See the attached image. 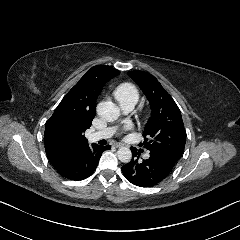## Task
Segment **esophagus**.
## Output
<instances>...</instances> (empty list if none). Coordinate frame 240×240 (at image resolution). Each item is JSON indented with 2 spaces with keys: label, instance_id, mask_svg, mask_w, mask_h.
<instances>
[{
  "label": "esophagus",
  "instance_id": "34e87169",
  "mask_svg": "<svg viewBox=\"0 0 240 240\" xmlns=\"http://www.w3.org/2000/svg\"><path fill=\"white\" fill-rule=\"evenodd\" d=\"M116 147H124V146H127L126 144H123V143H118L115 145Z\"/></svg>",
  "mask_w": 240,
  "mask_h": 240
}]
</instances>
